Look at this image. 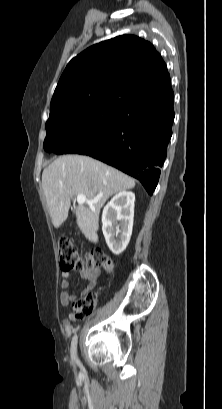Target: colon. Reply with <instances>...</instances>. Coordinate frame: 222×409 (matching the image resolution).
Listing matches in <instances>:
<instances>
[{
  "label": "colon",
  "instance_id": "colon-1",
  "mask_svg": "<svg viewBox=\"0 0 222 409\" xmlns=\"http://www.w3.org/2000/svg\"><path fill=\"white\" fill-rule=\"evenodd\" d=\"M58 256L62 271H84L102 267L108 273L114 269L112 260L102 251L94 249L81 256L76 245L67 238H60L58 241ZM96 297L92 293H84L72 303V316L75 319H82L88 316L94 309Z\"/></svg>",
  "mask_w": 222,
  "mask_h": 409
}]
</instances>
